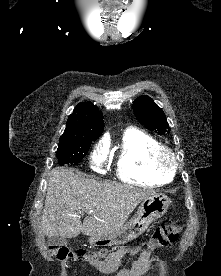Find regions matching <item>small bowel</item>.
<instances>
[{
  "instance_id": "c3829d8e",
  "label": "small bowel",
  "mask_w": 221,
  "mask_h": 276,
  "mask_svg": "<svg viewBox=\"0 0 221 276\" xmlns=\"http://www.w3.org/2000/svg\"><path fill=\"white\" fill-rule=\"evenodd\" d=\"M139 247L129 250H118L104 260L95 261L92 266L104 275L112 276H143L156 261L153 256V249L146 248L140 252L139 257L133 262L131 267L119 270L122 260L137 254Z\"/></svg>"
}]
</instances>
